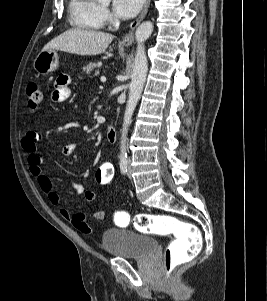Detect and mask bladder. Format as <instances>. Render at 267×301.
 <instances>
[{
	"label": "bladder",
	"instance_id": "31cf9c89",
	"mask_svg": "<svg viewBox=\"0 0 267 301\" xmlns=\"http://www.w3.org/2000/svg\"><path fill=\"white\" fill-rule=\"evenodd\" d=\"M101 239L108 254L125 259H143L158 247L155 238L121 228L106 229Z\"/></svg>",
	"mask_w": 267,
	"mask_h": 301
}]
</instances>
